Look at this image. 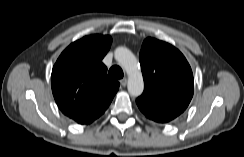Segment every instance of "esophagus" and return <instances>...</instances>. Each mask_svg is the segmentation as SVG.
<instances>
[{"instance_id":"obj_1","label":"esophagus","mask_w":244,"mask_h":157,"mask_svg":"<svg viewBox=\"0 0 244 157\" xmlns=\"http://www.w3.org/2000/svg\"><path fill=\"white\" fill-rule=\"evenodd\" d=\"M121 86L125 87L127 85V78H123L120 80Z\"/></svg>"}]
</instances>
